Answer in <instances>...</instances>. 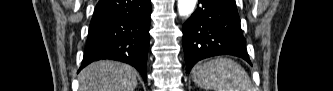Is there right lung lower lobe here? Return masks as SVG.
Listing matches in <instances>:
<instances>
[{
	"instance_id": "98d812e1",
	"label": "right lung lower lobe",
	"mask_w": 333,
	"mask_h": 91,
	"mask_svg": "<svg viewBox=\"0 0 333 91\" xmlns=\"http://www.w3.org/2000/svg\"><path fill=\"white\" fill-rule=\"evenodd\" d=\"M150 0H100L96 5L80 70L112 59L134 66L146 81Z\"/></svg>"
}]
</instances>
